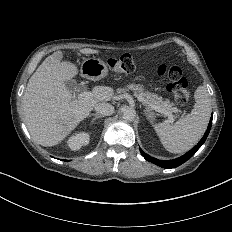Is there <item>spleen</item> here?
Masks as SVG:
<instances>
[{"label": "spleen", "mask_w": 232, "mask_h": 232, "mask_svg": "<svg viewBox=\"0 0 232 232\" xmlns=\"http://www.w3.org/2000/svg\"><path fill=\"white\" fill-rule=\"evenodd\" d=\"M195 105L190 114L175 124L163 122L154 126L163 146L171 153L190 150L203 136L211 116V100L203 86L195 91Z\"/></svg>", "instance_id": "1"}]
</instances>
